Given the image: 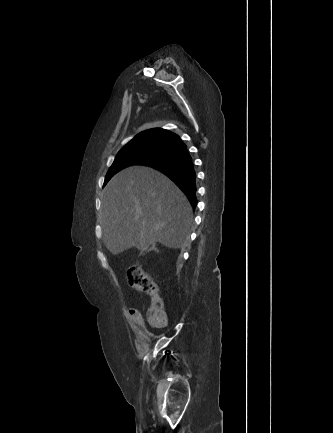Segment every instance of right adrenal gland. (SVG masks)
Returning a JSON list of instances; mask_svg holds the SVG:
<instances>
[{"mask_svg": "<svg viewBox=\"0 0 333 433\" xmlns=\"http://www.w3.org/2000/svg\"><path fill=\"white\" fill-rule=\"evenodd\" d=\"M156 250H157L156 246H155V245H152V246L147 250V252H150V251H156Z\"/></svg>", "mask_w": 333, "mask_h": 433, "instance_id": "1", "label": "right adrenal gland"}]
</instances>
